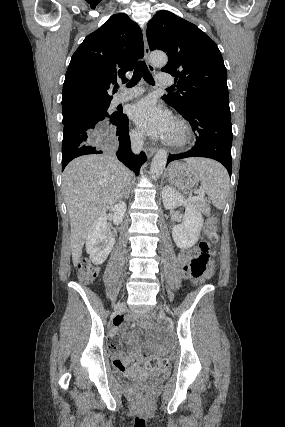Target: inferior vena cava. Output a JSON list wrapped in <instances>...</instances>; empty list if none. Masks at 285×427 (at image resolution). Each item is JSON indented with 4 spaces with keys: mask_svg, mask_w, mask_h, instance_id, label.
<instances>
[{
    "mask_svg": "<svg viewBox=\"0 0 285 427\" xmlns=\"http://www.w3.org/2000/svg\"><path fill=\"white\" fill-rule=\"evenodd\" d=\"M144 141L143 136L141 134H134L131 136V150L135 154H139L143 149ZM130 186V177L126 176L125 183L123 186V192L126 193L128 191V187Z\"/></svg>",
    "mask_w": 285,
    "mask_h": 427,
    "instance_id": "inferior-vena-cava-1",
    "label": "inferior vena cava"
}]
</instances>
